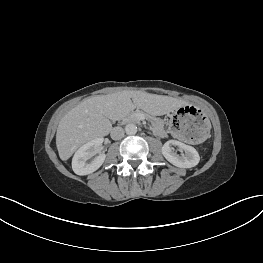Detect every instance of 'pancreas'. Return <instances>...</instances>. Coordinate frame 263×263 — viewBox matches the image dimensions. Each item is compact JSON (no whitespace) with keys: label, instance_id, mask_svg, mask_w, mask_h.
Listing matches in <instances>:
<instances>
[{"label":"pancreas","instance_id":"pancreas-1","mask_svg":"<svg viewBox=\"0 0 263 263\" xmlns=\"http://www.w3.org/2000/svg\"><path fill=\"white\" fill-rule=\"evenodd\" d=\"M142 113L140 110L132 111L126 114L123 118L124 121H136L138 122L139 119L137 117L138 114ZM147 120L152 124L153 131L155 134H159L160 131L163 129V121L159 118L151 116L149 114H144Z\"/></svg>","mask_w":263,"mask_h":263}]
</instances>
